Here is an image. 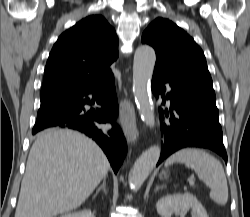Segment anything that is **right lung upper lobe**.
<instances>
[{"mask_svg":"<svg viewBox=\"0 0 250 217\" xmlns=\"http://www.w3.org/2000/svg\"><path fill=\"white\" fill-rule=\"evenodd\" d=\"M118 57L115 30L101 15L88 16L65 31L54 44L46 63L41 105L89 89L112 74Z\"/></svg>","mask_w":250,"mask_h":217,"instance_id":"1","label":"right lung upper lobe"}]
</instances>
